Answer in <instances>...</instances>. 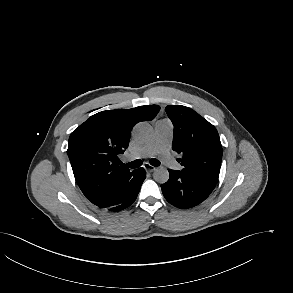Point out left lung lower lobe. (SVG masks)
Masks as SVG:
<instances>
[{
	"mask_svg": "<svg viewBox=\"0 0 293 293\" xmlns=\"http://www.w3.org/2000/svg\"><path fill=\"white\" fill-rule=\"evenodd\" d=\"M169 180L161 185L166 200L172 205L187 209L204 201L216 186L210 177L169 169Z\"/></svg>",
	"mask_w": 293,
	"mask_h": 293,
	"instance_id": "obj_1",
	"label": "left lung lower lobe"
}]
</instances>
